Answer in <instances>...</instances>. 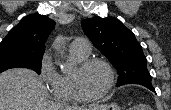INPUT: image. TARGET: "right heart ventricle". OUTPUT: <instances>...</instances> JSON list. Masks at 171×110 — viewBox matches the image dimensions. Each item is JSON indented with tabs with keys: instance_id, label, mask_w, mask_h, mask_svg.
Segmentation results:
<instances>
[{
	"instance_id": "obj_1",
	"label": "right heart ventricle",
	"mask_w": 171,
	"mask_h": 110,
	"mask_svg": "<svg viewBox=\"0 0 171 110\" xmlns=\"http://www.w3.org/2000/svg\"><path fill=\"white\" fill-rule=\"evenodd\" d=\"M70 58L73 63L79 64L82 61L86 60L88 54H82L78 51L71 49ZM51 93L53 97L61 102H76L78 101L71 88V74L61 73L58 75L57 81L51 88Z\"/></svg>"
}]
</instances>
